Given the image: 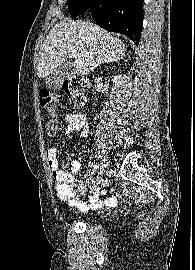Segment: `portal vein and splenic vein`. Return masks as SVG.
<instances>
[{"instance_id":"portal-vein-and-splenic-vein-1","label":"portal vein and splenic vein","mask_w":195,"mask_h":270,"mask_svg":"<svg viewBox=\"0 0 195 270\" xmlns=\"http://www.w3.org/2000/svg\"><path fill=\"white\" fill-rule=\"evenodd\" d=\"M70 52L73 57H76L78 55V53L75 50H70Z\"/></svg>"}]
</instances>
